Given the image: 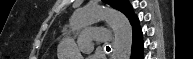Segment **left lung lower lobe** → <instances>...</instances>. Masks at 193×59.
<instances>
[{
    "label": "left lung lower lobe",
    "mask_w": 193,
    "mask_h": 59,
    "mask_svg": "<svg viewBox=\"0 0 193 59\" xmlns=\"http://www.w3.org/2000/svg\"><path fill=\"white\" fill-rule=\"evenodd\" d=\"M132 25L133 43L131 59H143V39L137 16L133 14L128 18Z\"/></svg>",
    "instance_id": "obj_1"
}]
</instances>
